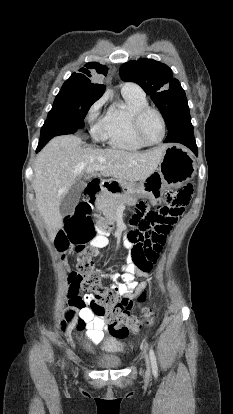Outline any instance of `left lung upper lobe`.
Segmentation results:
<instances>
[{
	"mask_svg": "<svg viewBox=\"0 0 233 414\" xmlns=\"http://www.w3.org/2000/svg\"><path fill=\"white\" fill-rule=\"evenodd\" d=\"M120 76L124 81L139 84L151 96L168 129L181 113L189 110L179 81L173 78L171 69L161 62L152 59L127 62L120 67Z\"/></svg>",
	"mask_w": 233,
	"mask_h": 414,
	"instance_id": "5c2ea615",
	"label": "left lung upper lobe"
}]
</instances>
